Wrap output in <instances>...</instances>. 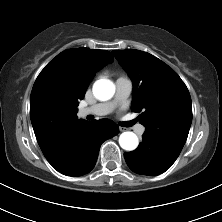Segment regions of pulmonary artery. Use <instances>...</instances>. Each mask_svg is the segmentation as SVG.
<instances>
[{"label": "pulmonary artery", "mask_w": 222, "mask_h": 222, "mask_svg": "<svg viewBox=\"0 0 222 222\" xmlns=\"http://www.w3.org/2000/svg\"><path fill=\"white\" fill-rule=\"evenodd\" d=\"M133 88L132 81L128 77H119L116 80V93L111 101L98 103L89 107L81 108L79 111L80 116L95 115L103 116L111 113L117 104L126 100ZM138 134H142L145 131L143 125L136 127Z\"/></svg>", "instance_id": "pulmonary-artery-1"}]
</instances>
